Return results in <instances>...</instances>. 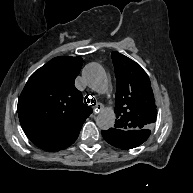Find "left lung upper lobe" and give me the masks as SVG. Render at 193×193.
<instances>
[{"mask_svg": "<svg viewBox=\"0 0 193 193\" xmlns=\"http://www.w3.org/2000/svg\"><path fill=\"white\" fill-rule=\"evenodd\" d=\"M116 74L115 129L126 132L149 130L156 121V106L146 72L119 52L111 54Z\"/></svg>", "mask_w": 193, "mask_h": 193, "instance_id": "1", "label": "left lung upper lobe"}]
</instances>
